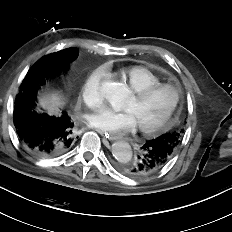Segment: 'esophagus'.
Here are the masks:
<instances>
[{"label":"esophagus","mask_w":232,"mask_h":232,"mask_svg":"<svg viewBox=\"0 0 232 232\" xmlns=\"http://www.w3.org/2000/svg\"><path fill=\"white\" fill-rule=\"evenodd\" d=\"M96 132H98L100 135H102L104 138L108 139V140H115L116 137L114 135H112L111 133L99 130V129H95Z\"/></svg>","instance_id":"esophagus-1"}]
</instances>
